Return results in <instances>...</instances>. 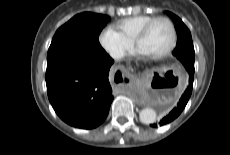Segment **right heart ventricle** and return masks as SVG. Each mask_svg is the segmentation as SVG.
<instances>
[{"label":"right heart ventricle","instance_id":"right-heart-ventricle-1","mask_svg":"<svg viewBox=\"0 0 230 155\" xmlns=\"http://www.w3.org/2000/svg\"><path fill=\"white\" fill-rule=\"evenodd\" d=\"M155 18L151 15H136L119 20L115 28L128 40L134 41L141 28Z\"/></svg>","mask_w":230,"mask_h":155}]
</instances>
